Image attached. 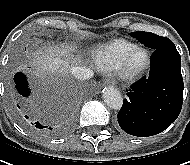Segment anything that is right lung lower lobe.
Masks as SVG:
<instances>
[{"mask_svg":"<svg viewBox=\"0 0 190 165\" xmlns=\"http://www.w3.org/2000/svg\"><path fill=\"white\" fill-rule=\"evenodd\" d=\"M14 82H15V85H16L15 87H16L18 93L20 95H22L23 97H28L30 91H29V88L27 85V80H26L25 75H23L22 73H17L14 76ZM15 109H16V113H17L19 119L23 123H25L26 125L34 128L38 131H41V132H43L45 134H49V135H57L64 131V129H62L60 127L52 128L51 126H46V125L40 123L38 121L36 114L34 113V110L29 109L28 106H23L22 110H19L20 106H18V108L15 107Z\"/></svg>","mask_w":190,"mask_h":165,"instance_id":"98d812e1","label":"right lung lower lobe"}]
</instances>
